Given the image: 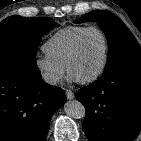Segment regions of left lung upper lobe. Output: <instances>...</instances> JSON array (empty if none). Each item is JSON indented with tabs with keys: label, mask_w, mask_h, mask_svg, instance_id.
<instances>
[{
	"label": "left lung upper lobe",
	"mask_w": 141,
	"mask_h": 141,
	"mask_svg": "<svg viewBox=\"0 0 141 141\" xmlns=\"http://www.w3.org/2000/svg\"><path fill=\"white\" fill-rule=\"evenodd\" d=\"M95 21L104 30L109 52L108 63L102 75L125 65H141V48L126 25L112 13L104 10L89 12L76 23Z\"/></svg>",
	"instance_id": "5c2ea615"
}]
</instances>
